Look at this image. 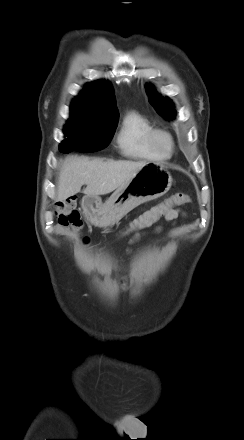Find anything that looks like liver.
<instances>
[{
  "instance_id": "6515ba94",
  "label": "liver",
  "mask_w": 244,
  "mask_h": 440,
  "mask_svg": "<svg viewBox=\"0 0 244 440\" xmlns=\"http://www.w3.org/2000/svg\"><path fill=\"white\" fill-rule=\"evenodd\" d=\"M146 162L103 161L84 156H70L64 160L59 173L57 199L64 201L87 185L85 195H106L124 185Z\"/></svg>"
}]
</instances>
